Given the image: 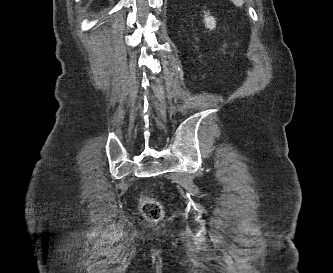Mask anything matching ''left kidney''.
<instances>
[{
    "instance_id": "left-kidney-1",
    "label": "left kidney",
    "mask_w": 333,
    "mask_h": 273,
    "mask_svg": "<svg viewBox=\"0 0 333 273\" xmlns=\"http://www.w3.org/2000/svg\"><path fill=\"white\" fill-rule=\"evenodd\" d=\"M204 21H205V26L208 29L213 30L216 27L215 19L212 16H209L208 14H206Z\"/></svg>"
}]
</instances>
